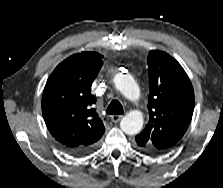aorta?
I'll list each match as a JSON object with an SVG mask.
<instances>
[{
  "mask_svg": "<svg viewBox=\"0 0 223 188\" xmlns=\"http://www.w3.org/2000/svg\"><path fill=\"white\" fill-rule=\"evenodd\" d=\"M114 84L128 100L134 101L139 99V86L130 74L117 73L114 77ZM143 123L142 114L138 111H132L122 118L120 128L125 134L135 135L141 131Z\"/></svg>",
  "mask_w": 223,
  "mask_h": 188,
  "instance_id": "762f6f07",
  "label": "aorta"
}]
</instances>
